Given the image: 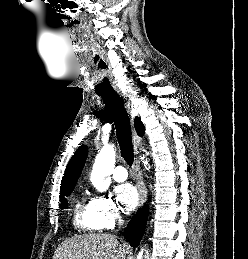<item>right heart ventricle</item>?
<instances>
[{"label":"right heart ventricle","mask_w":248,"mask_h":259,"mask_svg":"<svg viewBox=\"0 0 248 259\" xmlns=\"http://www.w3.org/2000/svg\"><path fill=\"white\" fill-rule=\"evenodd\" d=\"M73 224L75 227L84 231L99 229L91 200L86 201V199L80 198L76 201L73 210Z\"/></svg>","instance_id":"right-heart-ventricle-1"}]
</instances>
